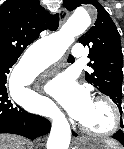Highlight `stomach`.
<instances>
[{
	"instance_id": "0dacf381",
	"label": "stomach",
	"mask_w": 124,
	"mask_h": 149,
	"mask_svg": "<svg viewBox=\"0 0 124 149\" xmlns=\"http://www.w3.org/2000/svg\"><path fill=\"white\" fill-rule=\"evenodd\" d=\"M79 149H116L111 141H96L89 137H80Z\"/></svg>"
}]
</instances>
